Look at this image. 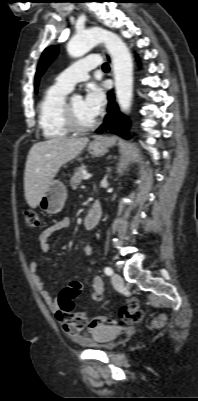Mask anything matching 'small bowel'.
Returning a JSON list of instances; mask_svg holds the SVG:
<instances>
[{
    "label": "small bowel",
    "instance_id": "c3829d8e",
    "mask_svg": "<svg viewBox=\"0 0 198 401\" xmlns=\"http://www.w3.org/2000/svg\"><path fill=\"white\" fill-rule=\"evenodd\" d=\"M70 221L68 219H61L53 225L46 228L39 236V247L43 253L49 250L48 239L55 233L65 231L69 228ZM84 253L87 257L91 256L90 247L84 248ZM30 271L36 287L40 292L42 298L55 315V318L62 324L63 330L66 335L79 341L86 342L88 336H96L97 332L104 327L98 325L94 321H90L86 326L80 327L77 316L64 312L58 302L52 297L50 292L45 288V285L38 273V264L36 261L30 263ZM75 297L82 291L83 287L79 282H76ZM104 297V285L99 276H95L92 281L91 300L94 302L102 301Z\"/></svg>",
    "mask_w": 198,
    "mask_h": 401
}]
</instances>
